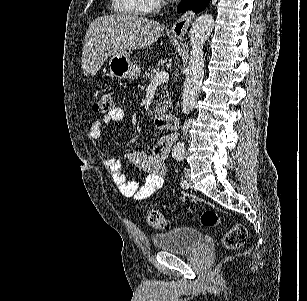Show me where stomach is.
Here are the masks:
<instances>
[{"label":"stomach","instance_id":"1","mask_svg":"<svg viewBox=\"0 0 307 301\" xmlns=\"http://www.w3.org/2000/svg\"><path fill=\"white\" fill-rule=\"evenodd\" d=\"M176 38H182V36H176ZM108 66L111 74L116 78L135 80L141 72L140 64L136 60H132L129 52H114L110 56Z\"/></svg>","mask_w":307,"mask_h":301}]
</instances>
